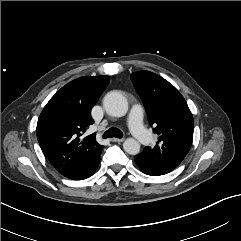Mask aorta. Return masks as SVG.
Wrapping results in <instances>:
<instances>
[{"mask_svg":"<svg viewBox=\"0 0 241 241\" xmlns=\"http://www.w3.org/2000/svg\"><path fill=\"white\" fill-rule=\"evenodd\" d=\"M105 111L114 117H122L128 111L126 98L117 91L107 93L103 100ZM123 149L130 155H137L140 152V144L133 138H127L123 143Z\"/></svg>","mask_w":241,"mask_h":241,"instance_id":"1","label":"aorta"}]
</instances>
